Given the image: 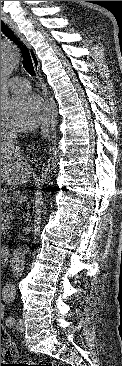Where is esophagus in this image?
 Segmentation results:
<instances>
[{"instance_id": "1", "label": "esophagus", "mask_w": 122, "mask_h": 366, "mask_svg": "<svg viewBox=\"0 0 122 366\" xmlns=\"http://www.w3.org/2000/svg\"><path fill=\"white\" fill-rule=\"evenodd\" d=\"M1 19L10 26V28L14 31V33L17 35V37L27 46V48L30 52L34 68L36 70L37 76L39 78V81H40V84L42 87V94H43V97L45 100V118H44L42 126H41V135L43 138H46L50 133V127H51L52 120H53V107H52L51 101L49 99L48 90L46 88V85H45V83L41 77L40 71H39V66H40L39 59H38L34 49L28 44L25 37L18 30V28L16 27L14 22L12 20H10L8 17H6L4 14H1Z\"/></svg>"}]
</instances>
